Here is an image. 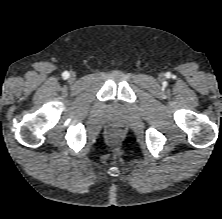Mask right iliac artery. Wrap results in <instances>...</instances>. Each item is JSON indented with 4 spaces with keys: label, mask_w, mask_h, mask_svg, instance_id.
<instances>
[{
    "label": "right iliac artery",
    "mask_w": 222,
    "mask_h": 219,
    "mask_svg": "<svg viewBox=\"0 0 222 219\" xmlns=\"http://www.w3.org/2000/svg\"><path fill=\"white\" fill-rule=\"evenodd\" d=\"M64 79H67L69 77V73L67 71L63 72L62 74Z\"/></svg>",
    "instance_id": "1"
}]
</instances>
